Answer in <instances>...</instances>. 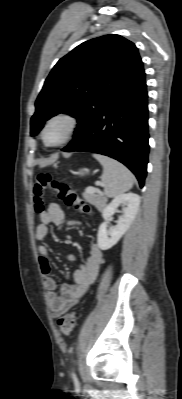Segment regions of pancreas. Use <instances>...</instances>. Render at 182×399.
Wrapping results in <instances>:
<instances>
[{"mask_svg": "<svg viewBox=\"0 0 182 399\" xmlns=\"http://www.w3.org/2000/svg\"><path fill=\"white\" fill-rule=\"evenodd\" d=\"M87 197L90 199V201L96 205L97 207L101 206L105 201L106 198L102 197L101 193H86Z\"/></svg>", "mask_w": 182, "mask_h": 399, "instance_id": "cf45deb5", "label": "pancreas"}]
</instances>
